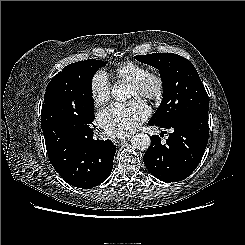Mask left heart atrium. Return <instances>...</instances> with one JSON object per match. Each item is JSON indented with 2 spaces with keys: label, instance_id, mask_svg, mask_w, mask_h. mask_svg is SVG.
<instances>
[{
  "label": "left heart atrium",
  "instance_id": "39dd6f15",
  "mask_svg": "<svg viewBox=\"0 0 245 245\" xmlns=\"http://www.w3.org/2000/svg\"><path fill=\"white\" fill-rule=\"evenodd\" d=\"M149 108L140 98L127 103H114L98 115L100 125L113 136H125L133 132L148 117Z\"/></svg>",
  "mask_w": 245,
  "mask_h": 245
}]
</instances>
